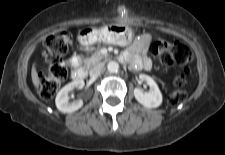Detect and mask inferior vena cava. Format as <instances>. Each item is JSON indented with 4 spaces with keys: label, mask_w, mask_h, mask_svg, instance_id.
<instances>
[{
    "label": "inferior vena cava",
    "mask_w": 225,
    "mask_h": 155,
    "mask_svg": "<svg viewBox=\"0 0 225 155\" xmlns=\"http://www.w3.org/2000/svg\"><path fill=\"white\" fill-rule=\"evenodd\" d=\"M104 68V64L103 63H98L96 64L95 66H93L91 69H90V77L91 78H97L101 71L103 70Z\"/></svg>",
    "instance_id": "inferior-vena-cava-1"
}]
</instances>
